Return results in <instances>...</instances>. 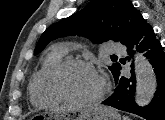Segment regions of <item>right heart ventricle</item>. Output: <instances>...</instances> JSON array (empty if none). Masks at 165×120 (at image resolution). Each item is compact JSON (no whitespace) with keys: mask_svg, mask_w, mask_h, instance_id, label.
Here are the masks:
<instances>
[{"mask_svg":"<svg viewBox=\"0 0 165 120\" xmlns=\"http://www.w3.org/2000/svg\"><path fill=\"white\" fill-rule=\"evenodd\" d=\"M63 60L64 53L59 50H53L45 56L29 85V94L33 105L49 107L60 103V100L49 89V77L55 67Z\"/></svg>","mask_w":165,"mask_h":120,"instance_id":"1","label":"right heart ventricle"}]
</instances>
